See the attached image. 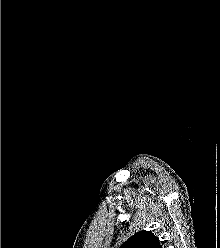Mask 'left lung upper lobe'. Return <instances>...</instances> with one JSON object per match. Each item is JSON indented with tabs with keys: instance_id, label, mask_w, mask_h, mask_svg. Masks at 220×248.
<instances>
[{
	"instance_id": "obj_1",
	"label": "left lung upper lobe",
	"mask_w": 220,
	"mask_h": 248,
	"mask_svg": "<svg viewBox=\"0 0 220 248\" xmlns=\"http://www.w3.org/2000/svg\"><path fill=\"white\" fill-rule=\"evenodd\" d=\"M120 248H162V245L151 231L142 230L131 236Z\"/></svg>"
}]
</instances>
